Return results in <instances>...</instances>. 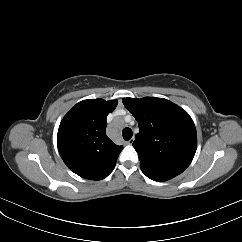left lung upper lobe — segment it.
Wrapping results in <instances>:
<instances>
[{"mask_svg": "<svg viewBox=\"0 0 242 242\" xmlns=\"http://www.w3.org/2000/svg\"><path fill=\"white\" fill-rule=\"evenodd\" d=\"M140 132L133 147L142 172L152 180H168L182 173L197 148L195 125L189 114L163 98H124Z\"/></svg>", "mask_w": 242, "mask_h": 242, "instance_id": "1", "label": "left lung upper lobe"}]
</instances>
